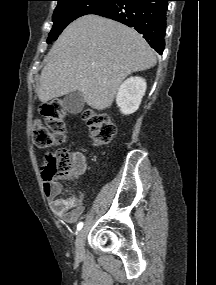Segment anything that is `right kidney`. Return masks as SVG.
<instances>
[{"label": "right kidney", "instance_id": "right-kidney-1", "mask_svg": "<svg viewBox=\"0 0 216 285\" xmlns=\"http://www.w3.org/2000/svg\"><path fill=\"white\" fill-rule=\"evenodd\" d=\"M146 87V81L141 77H130L121 84L116 97L121 113L129 115L139 108Z\"/></svg>", "mask_w": 216, "mask_h": 285}]
</instances>
